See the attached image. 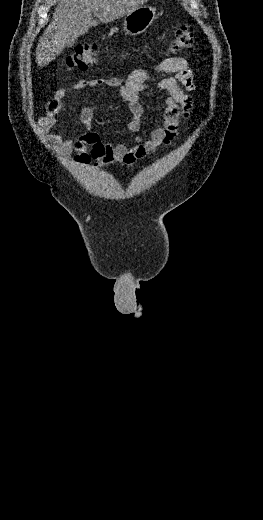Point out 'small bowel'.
<instances>
[{
    "mask_svg": "<svg viewBox=\"0 0 263 520\" xmlns=\"http://www.w3.org/2000/svg\"><path fill=\"white\" fill-rule=\"evenodd\" d=\"M172 74L171 76H167ZM158 78L155 88L162 92L159 100L165 108L162 114V123L156 127L148 138H136L132 143L116 145L104 143L97 133L90 130V123L97 110L83 108L80 113V122L83 132L77 137H65L59 131H53L57 125V114L65 105L68 95L67 88H59L46 105V113L39 120V127L43 133L49 134V140L63 155L71 156L74 152V163L86 166L95 161L99 167L112 162L133 164L143 160L156 152L161 146L169 144L177 135L181 121L188 119L194 106V99L188 92L196 89L194 74L186 59L169 57L157 64L152 71L134 69L124 76L107 79H81L72 86L74 90H83L87 87L105 85L118 91L120 97L128 103L130 120L127 124L130 132H138L145 114L141 103V96L149 93L153 86L150 81Z\"/></svg>",
    "mask_w": 263,
    "mask_h": 520,
    "instance_id": "1",
    "label": "small bowel"
}]
</instances>
